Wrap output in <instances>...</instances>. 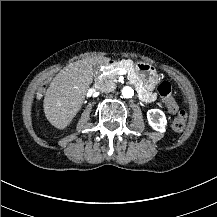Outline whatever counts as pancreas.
I'll return each instance as SVG.
<instances>
[{"instance_id":"cf45deb5","label":"pancreas","mask_w":217,"mask_h":217,"mask_svg":"<svg viewBox=\"0 0 217 217\" xmlns=\"http://www.w3.org/2000/svg\"><path fill=\"white\" fill-rule=\"evenodd\" d=\"M130 64L131 63H129V62H120V63L116 64V67H123V68H125V69L128 70V76H127V78L129 80V82L131 84H133L139 90V94L142 95L143 99H148V100H151V101H156L157 100V95L155 93L146 92V89L143 88V82H142V80L138 77V75L136 74L135 70L132 68V66ZM108 77L111 80L115 81L118 76H117L116 73H111Z\"/></svg>"}]
</instances>
